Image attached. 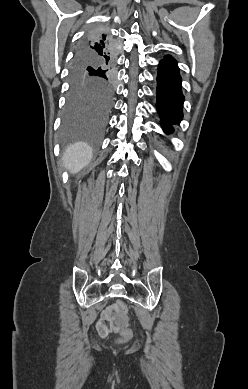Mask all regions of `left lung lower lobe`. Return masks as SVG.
Instances as JSON below:
<instances>
[{
  "label": "left lung lower lobe",
  "mask_w": 248,
  "mask_h": 389,
  "mask_svg": "<svg viewBox=\"0 0 248 389\" xmlns=\"http://www.w3.org/2000/svg\"><path fill=\"white\" fill-rule=\"evenodd\" d=\"M181 81L175 59L168 55L165 56L158 66L156 91V108L165 132H173L172 125L180 123L183 118L184 96L181 90Z\"/></svg>",
  "instance_id": "left-lung-lower-lobe-1"
}]
</instances>
